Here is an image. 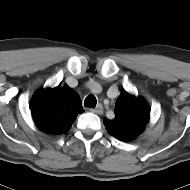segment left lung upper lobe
Masks as SVG:
<instances>
[{
	"mask_svg": "<svg viewBox=\"0 0 190 190\" xmlns=\"http://www.w3.org/2000/svg\"><path fill=\"white\" fill-rule=\"evenodd\" d=\"M150 118V107L147 102L123 91L115 105V118L103 123L107 132L122 141H131L145 129Z\"/></svg>",
	"mask_w": 190,
	"mask_h": 190,
	"instance_id": "left-lung-upper-lobe-1",
	"label": "left lung upper lobe"
}]
</instances>
